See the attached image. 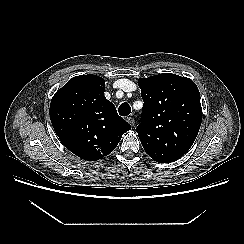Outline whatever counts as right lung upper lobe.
<instances>
[{
	"label": "right lung upper lobe",
	"mask_w": 244,
	"mask_h": 244,
	"mask_svg": "<svg viewBox=\"0 0 244 244\" xmlns=\"http://www.w3.org/2000/svg\"><path fill=\"white\" fill-rule=\"evenodd\" d=\"M104 79L81 75L53 96L50 119L62 144L78 157L96 161L111 153L131 126L104 96Z\"/></svg>",
	"instance_id": "1"
}]
</instances>
